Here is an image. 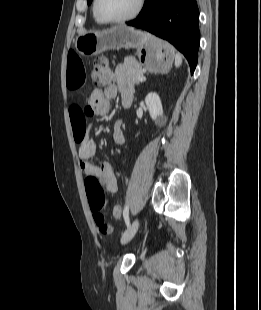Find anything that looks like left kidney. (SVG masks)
I'll use <instances>...</instances> for the list:
<instances>
[{
  "mask_svg": "<svg viewBox=\"0 0 261 310\" xmlns=\"http://www.w3.org/2000/svg\"><path fill=\"white\" fill-rule=\"evenodd\" d=\"M145 103L148 107L152 120L157 125L163 124L165 118L163 116V107L158 94L155 92L149 93L145 98Z\"/></svg>",
  "mask_w": 261,
  "mask_h": 310,
  "instance_id": "1",
  "label": "left kidney"
}]
</instances>
